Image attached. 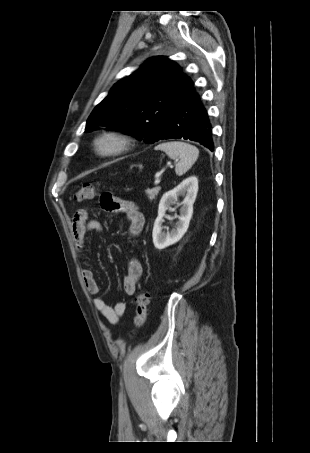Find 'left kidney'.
<instances>
[{
	"label": "left kidney",
	"mask_w": 310,
	"mask_h": 453,
	"mask_svg": "<svg viewBox=\"0 0 310 453\" xmlns=\"http://www.w3.org/2000/svg\"><path fill=\"white\" fill-rule=\"evenodd\" d=\"M198 192V179L195 176H191L183 180L174 189L166 192L159 203L158 216L154 222L152 237L155 248L162 250L166 247L178 242L183 235L186 233L189 222L193 215V204L195 202ZM178 196H184V200L179 203ZM182 205L180 208V216L176 222L174 228L170 232H163V217L168 209L172 205Z\"/></svg>",
	"instance_id": "obj_1"
}]
</instances>
